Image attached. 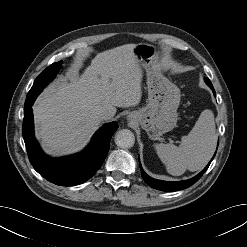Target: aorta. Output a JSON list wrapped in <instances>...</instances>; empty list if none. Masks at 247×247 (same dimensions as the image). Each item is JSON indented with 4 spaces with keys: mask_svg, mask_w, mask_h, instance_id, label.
Wrapping results in <instances>:
<instances>
[{
    "mask_svg": "<svg viewBox=\"0 0 247 247\" xmlns=\"http://www.w3.org/2000/svg\"><path fill=\"white\" fill-rule=\"evenodd\" d=\"M115 143L120 148H131L135 143L134 134L128 129H121L115 134Z\"/></svg>",
    "mask_w": 247,
    "mask_h": 247,
    "instance_id": "1",
    "label": "aorta"
}]
</instances>
